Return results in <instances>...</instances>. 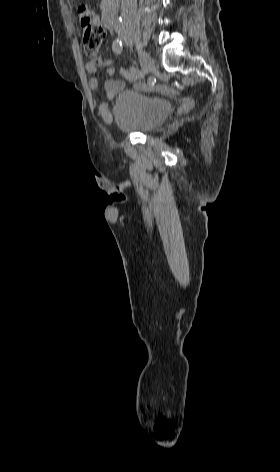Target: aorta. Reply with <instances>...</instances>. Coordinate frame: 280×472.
<instances>
[{"label": "aorta", "mask_w": 280, "mask_h": 472, "mask_svg": "<svg viewBox=\"0 0 280 472\" xmlns=\"http://www.w3.org/2000/svg\"><path fill=\"white\" fill-rule=\"evenodd\" d=\"M121 21H122V20L118 18V19H116L115 23H116V24H120Z\"/></svg>", "instance_id": "obj_1"}]
</instances>
